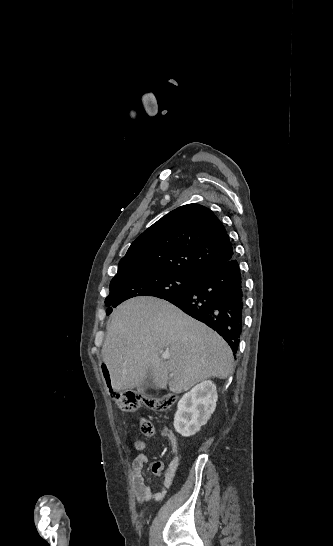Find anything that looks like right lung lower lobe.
<instances>
[{
    "label": "right lung lower lobe",
    "mask_w": 333,
    "mask_h": 546,
    "mask_svg": "<svg viewBox=\"0 0 333 546\" xmlns=\"http://www.w3.org/2000/svg\"><path fill=\"white\" fill-rule=\"evenodd\" d=\"M164 299L217 331L236 354L243 327L244 283L234 257L199 276L189 291Z\"/></svg>",
    "instance_id": "98d812e1"
}]
</instances>
